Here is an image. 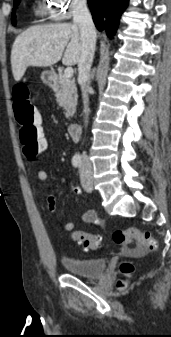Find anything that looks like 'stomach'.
I'll return each instance as SVG.
<instances>
[{
	"label": "stomach",
	"mask_w": 171,
	"mask_h": 337,
	"mask_svg": "<svg viewBox=\"0 0 171 337\" xmlns=\"http://www.w3.org/2000/svg\"><path fill=\"white\" fill-rule=\"evenodd\" d=\"M41 78L45 83H51L55 79V74L53 71H44Z\"/></svg>",
	"instance_id": "obj_1"
}]
</instances>
